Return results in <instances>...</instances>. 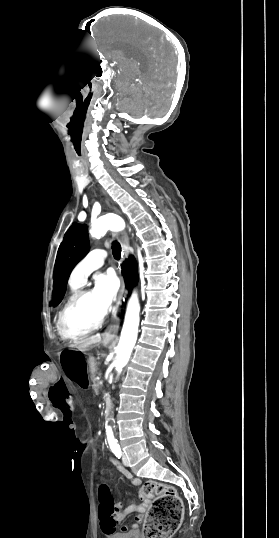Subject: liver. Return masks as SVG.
<instances>
[{
    "label": "liver",
    "mask_w": 279,
    "mask_h": 538,
    "mask_svg": "<svg viewBox=\"0 0 279 538\" xmlns=\"http://www.w3.org/2000/svg\"><path fill=\"white\" fill-rule=\"evenodd\" d=\"M98 342H101V336H91L80 348H90L91 344H98Z\"/></svg>",
    "instance_id": "1"
}]
</instances>
